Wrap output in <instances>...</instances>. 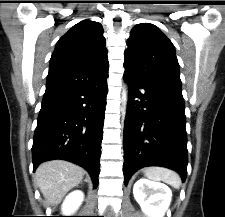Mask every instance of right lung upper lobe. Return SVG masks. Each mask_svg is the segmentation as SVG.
<instances>
[{
	"mask_svg": "<svg viewBox=\"0 0 225 217\" xmlns=\"http://www.w3.org/2000/svg\"><path fill=\"white\" fill-rule=\"evenodd\" d=\"M106 41L100 23L84 20L57 42L44 95L83 88L108 77Z\"/></svg>",
	"mask_w": 225,
	"mask_h": 217,
	"instance_id": "1",
	"label": "right lung upper lobe"
}]
</instances>
